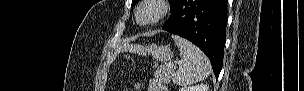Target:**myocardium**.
Masks as SVG:
<instances>
[{
    "instance_id": "1",
    "label": "myocardium",
    "mask_w": 304,
    "mask_h": 91,
    "mask_svg": "<svg viewBox=\"0 0 304 91\" xmlns=\"http://www.w3.org/2000/svg\"><path fill=\"white\" fill-rule=\"evenodd\" d=\"M145 6H152L156 9L155 15L147 20L139 19L140 11ZM170 11L169 1L167 0H142L135 10V20L140 26H150L160 22Z\"/></svg>"
}]
</instances>
